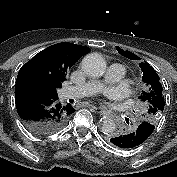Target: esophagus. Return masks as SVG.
Instances as JSON below:
<instances>
[{"mask_svg": "<svg viewBox=\"0 0 177 177\" xmlns=\"http://www.w3.org/2000/svg\"><path fill=\"white\" fill-rule=\"evenodd\" d=\"M99 113H100L101 115H105V114L109 113V111H108V110H105V109L102 107V108H100Z\"/></svg>", "mask_w": 177, "mask_h": 177, "instance_id": "34e87169", "label": "esophagus"}]
</instances>
